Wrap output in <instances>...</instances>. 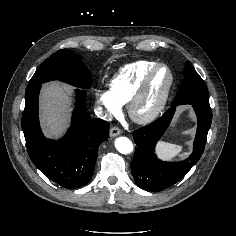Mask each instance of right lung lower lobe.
I'll list each match as a JSON object with an SVG mask.
<instances>
[{
  "label": "right lung lower lobe",
  "mask_w": 236,
  "mask_h": 236,
  "mask_svg": "<svg viewBox=\"0 0 236 236\" xmlns=\"http://www.w3.org/2000/svg\"><path fill=\"white\" fill-rule=\"evenodd\" d=\"M41 85L27 88L22 115L27 151L34 165L50 180L68 189L86 185L92 177L98 147L106 141L110 124L91 119L85 109V92L77 90V104L72 124L61 140H49L41 132L38 97Z\"/></svg>",
  "instance_id": "98d812e1"
}]
</instances>
